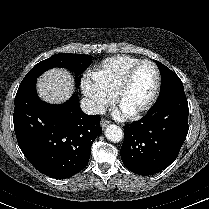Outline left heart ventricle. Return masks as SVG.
I'll return each instance as SVG.
<instances>
[{"label":"left heart ventricle","mask_w":209,"mask_h":209,"mask_svg":"<svg viewBox=\"0 0 209 209\" xmlns=\"http://www.w3.org/2000/svg\"><path fill=\"white\" fill-rule=\"evenodd\" d=\"M155 84V73L151 64L143 63L135 70L131 83L120 102V108L128 113L143 106L149 99Z\"/></svg>","instance_id":"1"}]
</instances>
